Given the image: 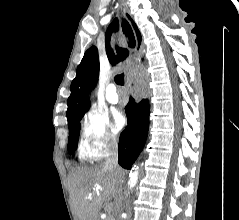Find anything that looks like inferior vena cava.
I'll list each match as a JSON object with an SVG mask.
<instances>
[{
	"mask_svg": "<svg viewBox=\"0 0 239 220\" xmlns=\"http://www.w3.org/2000/svg\"><path fill=\"white\" fill-rule=\"evenodd\" d=\"M105 165L113 169H119L118 165V144L115 139L107 141L105 148ZM121 189V186H120Z\"/></svg>",
	"mask_w": 239,
	"mask_h": 220,
	"instance_id": "inferior-vena-cava-1",
	"label": "inferior vena cava"
}]
</instances>
